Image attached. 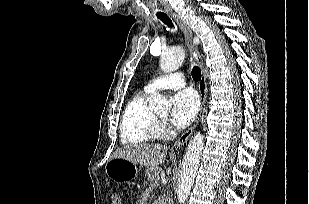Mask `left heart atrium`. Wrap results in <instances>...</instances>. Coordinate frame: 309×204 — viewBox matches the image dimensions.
I'll return each mask as SVG.
<instances>
[{
    "label": "left heart atrium",
    "mask_w": 309,
    "mask_h": 204,
    "mask_svg": "<svg viewBox=\"0 0 309 204\" xmlns=\"http://www.w3.org/2000/svg\"><path fill=\"white\" fill-rule=\"evenodd\" d=\"M199 109V99L192 90H183L173 97L171 121L178 128H184L195 118Z\"/></svg>",
    "instance_id": "obj_1"
}]
</instances>
